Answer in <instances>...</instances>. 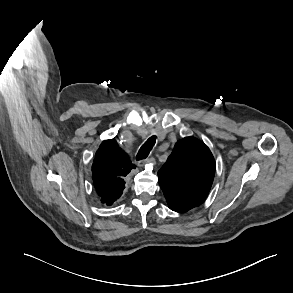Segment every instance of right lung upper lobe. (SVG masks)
<instances>
[{
  "label": "right lung upper lobe",
  "mask_w": 293,
  "mask_h": 293,
  "mask_svg": "<svg viewBox=\"0 0 293 293\" xmlns=\"http://www.w3.org/2000/svg\"><path fill=\"white\" fill-rule=\"evenodd\" d=\"M135 167L115 140L101 143L92 165V178L103 203L112 205L123 194L124 177Z\"/></svg>",
  "instance_id": "obj_1"
}]
</instances>
